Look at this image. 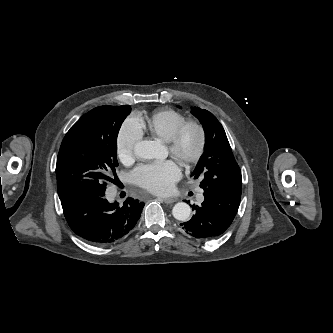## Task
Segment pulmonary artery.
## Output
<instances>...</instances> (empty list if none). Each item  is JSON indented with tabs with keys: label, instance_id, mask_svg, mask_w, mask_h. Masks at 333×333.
I'll use <instances>...</instances> for the list:
<instances>
[{
	"label": "pulmonary artery",
	"instance_id": "e3ab8cb5",
	"mask_svg": "<svg viewBox=\"0 0 333 333\" xmlns=\"http://www.w3.org/2000/svg\"><path fill=\"white\" fill-rule=\"evenodd\" d=\"M198 200H199V201H202V200H203V196H202V195H199V196H198Z\"/></svg>",
	"mask_w": 333,
	"mask_h": 333
}]
</instances>
